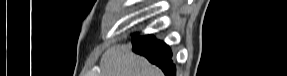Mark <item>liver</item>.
<instances>
[{"label":"liver","mask_w":287,"mask_h":76,"mask_svg":"<svg viewBox=\"0 0 287 76\" xmlns=\"http://www.w3.org/2000/svg\"><path fill=\"white\" fill-rule=\"evenodd\" d=\"M102 76H163L147 59L133 53L128 45H115L101 57Z\"/></svg>","instance_id":"1"}]
</instances>
